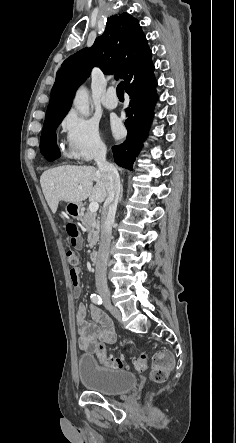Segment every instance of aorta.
Here are the masks:
<instances>
[{
    "label": "aorta",
    "instance_id": "762f6f07",
    "mask_svg": "<svg viewBox=\"0 0 236 443\" xmlns=\"http://www.w3.org/2000/svg\"><path fill=\"white\" fill-rule=\"evenodd\" d=\"M73 104L82 115L89 114V94L86 88L81 87L78 89Z\"/></svg>",
    "mask_w": 236,
    "mask_h": 443
}]
</instances>
